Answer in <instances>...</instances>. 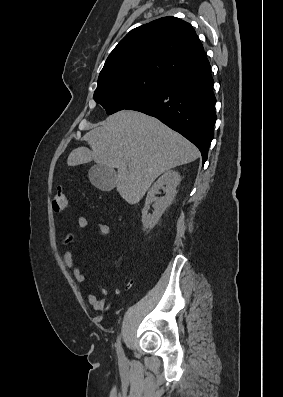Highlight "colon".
Instances as JSON below:
<instances>
[{"instance_id":"1","label":"colon","mask_w":283,"mask_h":397,"mask_svg":"<svg viewBox=\"0 0 283 397\" xmlns=\"http://www.w3.org/2000/svg\"><path fill=\"white\" fill-rule=\"evenodd\" d=\"M54 210L57 212L65 211L69 208V197L62 190H58L53 200Z\"/></svg>"}]
</instances>
